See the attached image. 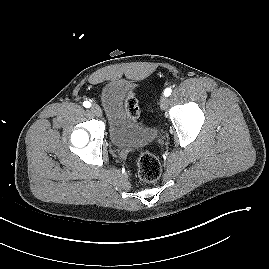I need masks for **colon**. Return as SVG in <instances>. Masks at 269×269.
I'll list each match as a JSON object with an SVG mask.
<instances>
[{"mask_svg": "<svg viewBox=\"0 0 269 269\" xmlns=\"http://www.w3.org/2000/svg\"><path fill=\"white\" fill-rule=\"evenodd\" d=\"M125 108L128 116L133 121H138L139 106L134 92L128 94L125 100ZM136 166L140 178L145 182H154L161 174V165L158 158L149 152H143L138 155Z\"/></svg>", "mask_w": 269, "mask_h": 269, "instance_id": "colon-1", "label": "colon"}]
</instances>
